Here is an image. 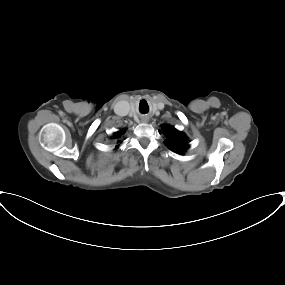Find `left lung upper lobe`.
<instances>
[{"mask_svg":"<svg viewBox=\"0 0 285 285\" xmlns=\"http://www.w3.org/2000/svg\"><path fill=\"white\" fill-rule=\"evenodd\" d=\"M162 128L166 137L164 143L170 150L183 154L189 148L188 138L184 133L167 124H164Z\"/></svg>","mask_w":285,"mask_h":285,"instance_id":"left-lung-upper-lobe-1","label":"left lung upper lobe"}]
</instances>
